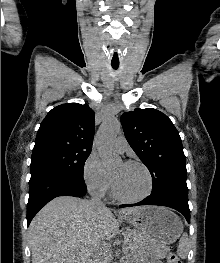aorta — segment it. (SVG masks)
<instances>
[{
  "mask_svg": "<svg viewBox=\"0 0 220 263\" xmlns=\"http://www.w3.org/2000/svg\"><path fill=\"white\" fill-rule=\"evenodd\" d=\"M120 128L121 125L117 119L108 118L101 125L97 135V150L102 159L103 166L107 169H110L120 160L113 149V141Z\"/></svg>",
  "mask_w": 220,
  "mask_h": 263,
  "instance_id": "obj_1",
  "label": "aorta"
}]
</instances>
